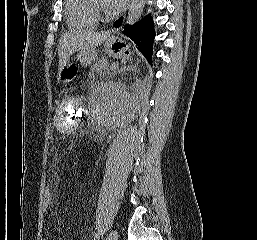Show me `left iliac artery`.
I'll list each match as a JSON object with an SVG mask.
<instances>
[{
    "label": "left iliac artery",
    "mask_w": 257,
    "mask_h": 240,
    "mask_svg": "<svg viewBox=\"0 0 257 240\" xmlns=\"http://www.w3.org/2000/svg\"><path fill=\"white\" fill-rule=\"evenodd\" d=\"M99 239V234L97 233V234H95V236H94V240H98Z\"/></svg>",
    "instance_id": "left-iliac-artery-1"
}]
</instances>
